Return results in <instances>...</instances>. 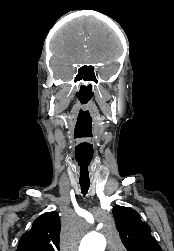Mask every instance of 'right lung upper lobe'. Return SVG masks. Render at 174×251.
<instances>
[{
	"label": "right lung upper lobe",
	"mask_w": 174,
	"mask_h": 251,
	"mask_svg": "<svg viewBox=\"0 0 174 251\" xmlns=\"http://www.w3.org/2000/svg\"><path fill=\"white\" fill-rule=\"evenodd\" d=\"M60 219L55 211L39 216L20 238L16 251H60Z\"/></svg>",
	"instance_id": "obj_1"
}]
</instances>
